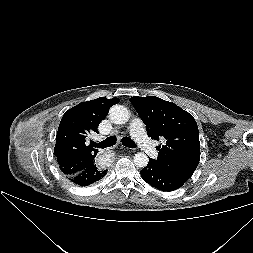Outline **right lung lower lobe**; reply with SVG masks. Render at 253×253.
Returning <instances> with one entry per match:
<instances>
[{
    "label": "right lung lower lobe",
    "instance_id": "obj_1",
    "mask_svg": "<svg viewBox=\"0 0 253 253\" xmlns=\"http://www.w3.org/2000/svg\"><path fill=\"white\" fill-rule=\"evenodd\" d=\"M107 171L108 170L99 169L97 165L94 163L89 167H87L86 169H84L83 171L75 175L68 176L67 178L75 185L83 187L99 181L107 174Z\"/></svg>",
    "mask_w": 253,
    "mask_h": 253
}]
</instances>
